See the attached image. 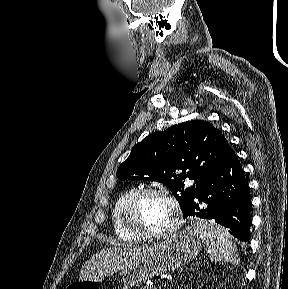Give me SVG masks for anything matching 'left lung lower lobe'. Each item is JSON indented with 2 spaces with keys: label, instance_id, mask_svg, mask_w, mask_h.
<instances>
[{
  "label": "left lung lower lobe",
  "instance_id": "1",
  "mask_svg": "<svg viewBox=\"0 0 288 289\" xmlns=\"http://www.w3.org/2000/svg\"><path fill=\"white\" fill-rule=\"evenodd\" d=\"M249 187L242 166L229 146L222 162L211 172L183 211V217L213 219L241 241L249 240L251 226Z\"/></svg>",
  "mask_w": 288,
  "mask_h": 289
}]
</instances>
